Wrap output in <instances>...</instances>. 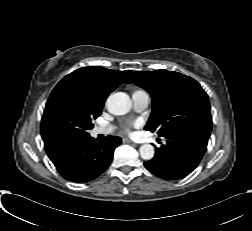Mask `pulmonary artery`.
Listing matches in <instances>:
<instances>
[{
  "label": "pulmonary artery",
  "instance_id": "1",
  "mask_svg": "<svg viewBox=\"0 0 252 231\" xmlns=\"http://www.w3.org/2000/svg\"><path fill=\"white\" fill-rule=\"evenodd\" d=\"M133 108L137 112L145 110L150 103V95L144 90H136L132 94ZM113 132L111 126H98L94 130V134L108 135Z\"/></svg>",
  "mask_w": 252,
  "mask_h": 231
}]
</instances>
